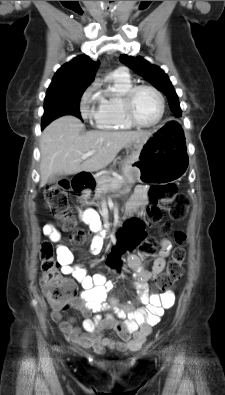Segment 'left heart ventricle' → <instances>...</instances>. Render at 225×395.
Returning <instances> with one entry per match:
<instances>
[{"label": "left heart ventricle", "mask_w": 225, "mask_h": 395, "mask_svg": "<svg viewBox=\"0 0 225 395\" xmlns=\"http://www.w3.org/2000/svg\"><path fill=\"white\" fill-rule=\"evenodd\" d=\"M133 110L136 118L145 124L153 123L160 113L159 101L149 90H140L134 99Z\"/></svg>", "instance_id": "1"}]
</instances>
